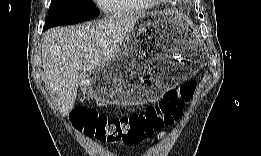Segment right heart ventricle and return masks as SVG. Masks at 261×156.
Here are the masks:
<instances>
[{
	"label": "right heart ventricle",
	"mask_w": 261,
	"mask_h": 156,
	"mask_svg": "<svg viewBox=\"0 0 261 156\" xmlns=\"http://www.w3.org/2000/svg\"><path fill=\"white\" fill-rule=\"evenodd\" d=\"M130 0H105V7L112 11H124L129 9Z\"/></svg>",
	"instance_id": "e07e8e85"
}]
</instances>
